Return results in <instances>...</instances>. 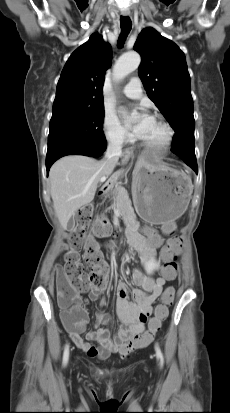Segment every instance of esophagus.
<instances>
[{
	"label": "esophagus",
	"mask_w": 230,
	"mask_h": 413,
	"mask_svg": "<svg viewBox=\"0 0 230 413\" xmlns=\"http://www.w3.org/2000/svg\"><path fill=\"white\" fill-rule=\"evenodd\" d=\"M122 15L125 16V17L130 16V12H122Z\"/></svg>",
	"instance_id": "1"
}]
</instances>
